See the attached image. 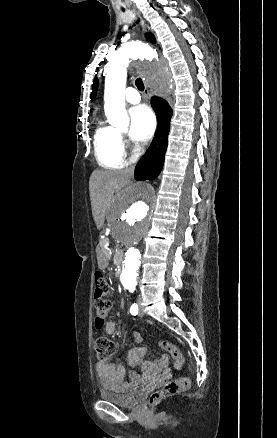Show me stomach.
Listing matches in <instances>:
<instances>
[{"label": "stomach", "instance_id": "1", "mask_svg": "<svg viewBox=\"0 0 277 438\" xmlns=\"http://www.w3.org/2000/svg\"><path fill=\"white\" fill-rule=\"evenodd\" d=\"M108 264V258L102 254L101 252H98V265L100 268H105Z\"/></svg>", "mask_w": 277, "mask_h": 438}]
</instances>
